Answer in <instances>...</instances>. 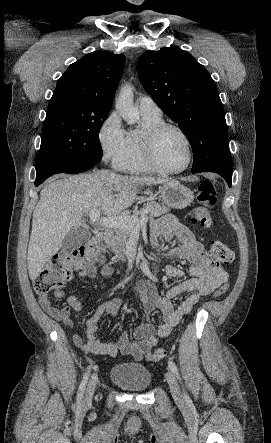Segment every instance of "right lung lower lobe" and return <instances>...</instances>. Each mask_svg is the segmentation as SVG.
<instances>
[{
  "label": "right lung lower lobe",
  "instance_id": "right-lung-lower-lobe-1",
  "mask_svg": "<svg viewBox=\"0 0 271 443\" xmlns=\"http://www.w3.org/2000/svg\"><path fill=\"white\" fill-rule=\"evenodd\" d=\"M98 162L94 160H63L45 164L36 169L35 185H40L53 174L69 173L76 174L89 170Z\"/></svg>",
  "mask_w": 271,
  "mask_h": 443
}]
</instances>
